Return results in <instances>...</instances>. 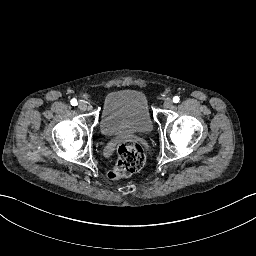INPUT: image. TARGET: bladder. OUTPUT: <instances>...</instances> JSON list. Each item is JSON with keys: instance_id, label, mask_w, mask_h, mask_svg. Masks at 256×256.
Segmentation results:
<instances>
[{"instance_id": "31cf9c89", "label": "bladder", "mask_w": 256, "mask_h": 256, "mask_svg": "<svg viewBox=\"0 0 256 256\" xmlns=\"http://www.w3.org/2000/svg\"><path fill=\"white\" fill-rule=\"evenodd\" d=\"M101 131L108 135H131L152 128L144 93L117 90L107 94L100 116Z\"/></svg>"}]
</instances>
